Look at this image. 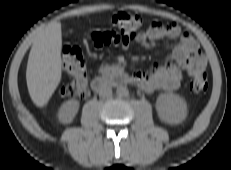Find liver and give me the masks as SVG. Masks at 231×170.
Wrapping results in <instances>:
<instances>
[{"label":"liver","instance_id":"1","mask_svg":"<svg viewBox=\"0 0 231 170\" xmlns=\"http://www.w3.org/2000/svg\"><path fill=\"white\" fill-rule=\"evenodd\" d=\"M61 23L51 22L34 41L28 58L26 81L33 103L45 106L61 81Z\"/></svg>","mask_w":231,"mask_h":170}]
</instances>
